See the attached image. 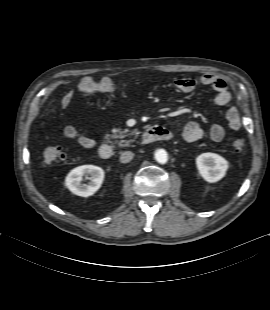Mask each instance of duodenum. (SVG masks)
I'll use <instances>...</instances> for the list:
<instances>
[{
	"label": "duodenum",
	"mask_w": 270,
	"mask_h": 310,
	"mask_svg": "<svg viewBox=\"0 0 270 310\" xmlns=\"http://www.w3.org/2000/svg\"><path fill=\"white\" fill-rule=\"evenodd\" d=\"M172 138V132L164 127L153 126L145 130L143 136L144 143H152L157 141H165ZM114 154V150L110 144H102L98 149V155L103 160L110 159Z\"/></svg>",
	"instance_id": "410a0bca"
}]
</instances>
